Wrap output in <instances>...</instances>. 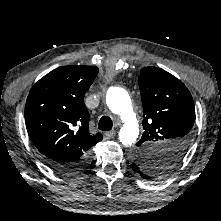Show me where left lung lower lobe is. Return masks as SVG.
I'll return each instance as SVG.
<instances>
[{
    "label": "left lung lower lobe",
    "instance_id": "0a47b994",
    "mask_svg": "<svg viewBox=\"0 0 221 221\" xmlns=\"http://www.w3.org/2000/svg\"><path fill=\"white\" fill-rule=\"evenodd\" d=\"M131 168L139 174L142 178L143 177H150L146 172H145V167L140 166L138 163L133 162L131 164Z\"/></svg>",
    "mask_w": 221,
    "mask_h": 221
}]
</instances>
